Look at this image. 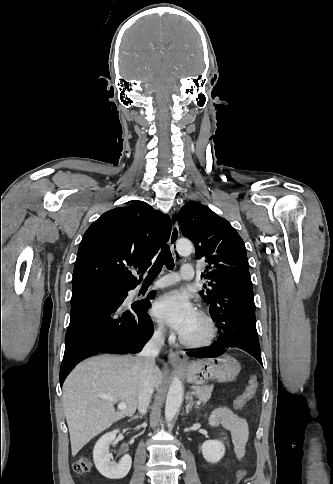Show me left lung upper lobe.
Listing matches in <instances>:
<instances>
[{
    "label": "left lung upper lobe",
    "mask_w": 333,
    "mask_h": 484,
    "mask_svg": "<svg viewBox=\"0 0 333 484\" xmlns=\"http://www.w3.org/2000/svg\"><path fill=\"white\" fill-rule=\"evenodd\" d=\"M174 218L183 234L194 242L197 258H205L208 263L202 277L210 281L200 294L211 306L216 303L222 276L229 271L248 268L245 244L226 219L200 203L188 202Z\"/></svg>",
    "instance_id": "1"
}]
</instances>
